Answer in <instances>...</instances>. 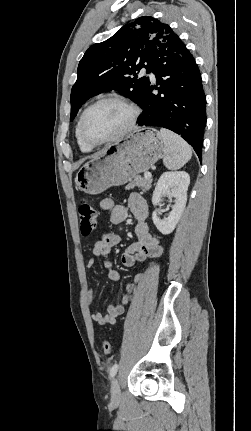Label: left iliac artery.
<instances>
[{"label": "left iliac artery", "mask_w": 251, "mask_h": 431, "mask_svg": "<svg viewBox=\"0 0 251 431\" xmlns=\"http://www.w3.org/2000/svg\"><path fill=\"white\" fill-rule=\"evenodd\" d=\"M118 367H119V365H118L117 363H115V364L112 366V368H111V370H110V377H111V378H113V377L116 375V373H117V371H118Z\"/></svg>", "instance_id": "obj_1"}]
</instances>
